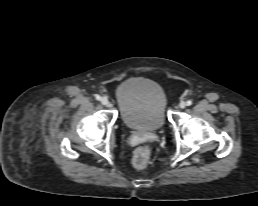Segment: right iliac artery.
Instances as JSON below:
<instances>
[{"mask_svg":"<svg viewBox=\"0 0 258 206\" xmlns=\"http://www.w3.org/2000/svg\"><path fill=\"white\" fill-rule=\"evenodd\" d=\"M95 98H96V100H100L101 99L100 95H95Z\"/></svg>","mask_w":258,"mask_h":206,"instance_id":"obj_1","label":"right iliac artery"}]
</instances>
